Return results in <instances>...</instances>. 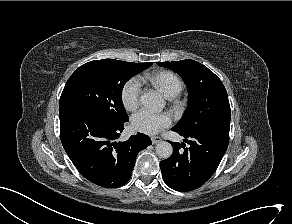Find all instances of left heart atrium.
I'll return each instance as SVG.
<instances>
[{
    "instance_id": "1",
    "label": "left heart atrium",
    "mask_w": 292,
    "mask_h": 224,
    "mask_svg": "<svg viewBox=\"0 0 292 224\" xmlns=\"http://www.w3.org/2000/svg\"><path fill=\"white\" fill-rule=\"evenodd\" d=\"M171 118L165 113H154L143 109L132 117L133 128L145 134H157L171 125Z\"/></svg>"
}]
</instances>
